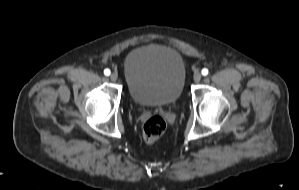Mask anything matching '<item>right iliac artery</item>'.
Returning <instances> with one entry per match:
<instances>
[{"label": "right iliac artery", "instance_id": "obj_1", "mask_svg": "<svg viewBox=\"0 0 299 190\" xmlns=\"http://www.w3.org/2000/svg\"><path fill=\"white\" fill-rule=\"evenodd\" d=\"M104 74H105L106 76H109V75H110V70H109V69H105V70H104Z\"/></svg>", "mask_w": 299, "mask_h": 190}]
</instances>
